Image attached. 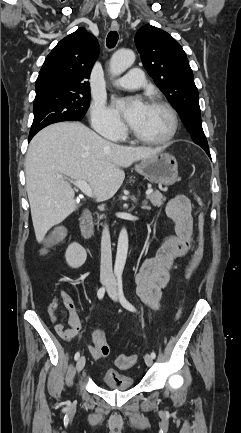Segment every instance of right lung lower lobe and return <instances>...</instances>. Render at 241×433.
<instances>
[{"label": "right lung lower lobe", "instance_id": "right-lung-lower-lobe-1", "mask_svg": "<svg viewBox=\"0 0 241 433\" xmlns=\"http://www.w3.org/2000/svg\"><path fill=\"white\" fill-rule=\"evenodd\" d=\"M35 134H36V133H35ZM35 134H29V141L32 139V137H33Z\"/></svg>", "mask_w": 241, "mask_h": 433}]
</instances>
